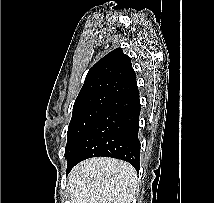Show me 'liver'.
<instances>
[{
    "instance_id": "6515ba94",
    "label": "liver",
    "mask_w": 214,
    "mask_h": 203,
    "mask_svg": "<svg viewBox=\"0 0 214 203\" xmlns=\"http://www.w3.org/2000/svg\"><path fill=\"white\" fill-rule=\"evenodd\" d=\"M137 187L135 169L113 158H91L68 177L70 203H131Z\"/></svg>"
}]
</instances>
